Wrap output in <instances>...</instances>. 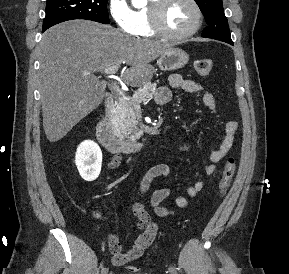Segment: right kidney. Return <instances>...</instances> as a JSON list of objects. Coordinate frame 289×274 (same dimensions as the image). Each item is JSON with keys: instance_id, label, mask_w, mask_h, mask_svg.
I'll return each instance as SVG.
<instances>
[{"instance_id": "obj_1", "label": "right kidney", "mask_w": 289, "mask_h": 274, "mask_svg": "<svg viewBox=\"0 0 289 274\" xmlns=\"http://www.w3.org/2000/svg\"><path fill=\"white\" fill-rule=\"evenodd\" d=\"M75 164L85 181L97 179L102 165V152L98 144L90 140L82 142L76 151Z\"/></svg>"}]
</instances>
